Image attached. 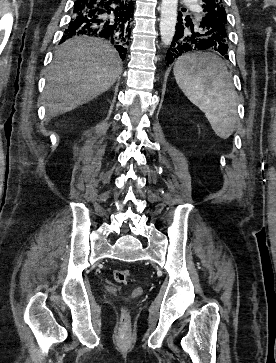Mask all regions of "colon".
<instances>
[{"instance_id":"colon-1","label":"colon","mask_w":276,"mask_h":363,"mask_svg":"<svg viewBox=\"0 0 276 363\" xmlns=\"http://www.w3.org/2000/svg\"><path fill=\"white\" fill-rule=\"evenodd\" d=\"M113 275H114V279L118 283L126 284L128 281V278L130 276V272L126 269H117L113 272ZM128 320H129L128 312L124 309V310H122L121 323L123 325H126L128 323Z\"/></svg>"}]
</instances>
